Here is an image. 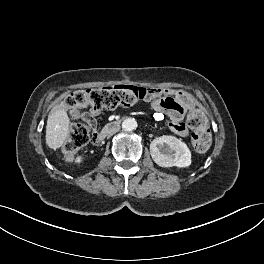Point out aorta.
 I'll list each match as a JSON object with an SVG mask.
<instances>
[{
  "label": "aorta",
  "instance_id": "762f6f07",
  "mask_svg": "<svg viewBox=\"0 0 264 264\" xmlns=\"http://www.w3.org/2000/svg\"><path fill=\"white\" fill-rule=\"evenodd\" d=\"M137 128V122L134 118H127L122 122V129L130 132Z\"/></svg>",
  "mask_w": 264,
  "mask_h": 264
}]
</instances>
